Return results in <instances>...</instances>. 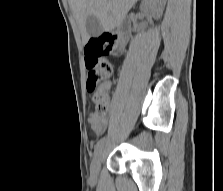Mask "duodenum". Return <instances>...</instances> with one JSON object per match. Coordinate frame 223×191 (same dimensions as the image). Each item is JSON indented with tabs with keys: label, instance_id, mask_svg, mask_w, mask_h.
<instances>
[{
	"label": "duodenum",
	"instance_id": "410a0bca",
	"mask_svg": "<svg viewBox=\"0 0 223 191\" xmlns=\"http://www.w3.org/2000/svg\"><path fill=\"white\" fill-rule=\"evenodd\" d=\"M118 31L123 34L127 35L129 32V25L126 20L122 21L118 27Z\"/></svg>",
	"mask_w": 223,
	"mask_h": 191
}]
</instances>
